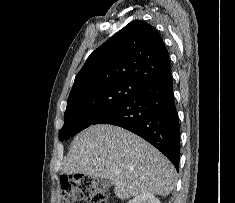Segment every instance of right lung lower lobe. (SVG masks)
I'll return each mask as SVG.
<instances>
[{
  "mask_svg": "<svg viewBox=\"0 0 235 203\" xmlns=\"http://www.w3.org/2000/svg\"><path fill=\"white\" fill-rule=\"evenodd\" d=\"M94 124L123 127L144 138L179 169L180 126L170 70L143 83Z\"/></svg>",
  "mask_w": 235,
  "mask_h": 203,
  "instance_id": "1",
  "label": "right lung lower lobe"
}]
</instances>
